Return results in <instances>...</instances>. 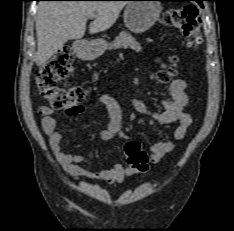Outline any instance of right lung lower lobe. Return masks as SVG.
I'll return each mask as SVG.
<instances>
[{
  "label": "right lung lower lobe",
  "instance_id": "1",
  "mask_svg": "<svg viewBox=\"0 0 234 231\" xmlns=\"http://www.w3.org/2000/svg\"><path fill=\"white\" fill-rule=\"evenodd\" d=\"M36 1H45V0H36Z\"/></svg>",
  "mask_w": 234,
  "mask_h": 231
}]
</instances>
